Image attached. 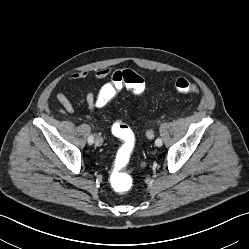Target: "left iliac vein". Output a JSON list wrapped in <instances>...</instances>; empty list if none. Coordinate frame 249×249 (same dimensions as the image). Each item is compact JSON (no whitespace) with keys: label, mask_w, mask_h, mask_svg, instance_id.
<instances>
[{"label":"left iliac vein","mask_w":249,"mask_h":249,"mask_svg":"<svg viewBox=\"0 0 249 249\" xmlns=\"http://www.w3.org/2000/svg\"><path fill=\"white\" fill-rule=\"evenodd\" d=\"M147 138H148V139H153V138H154V132H153L152 130H149V131L147 132Z\"/></svg>","instance_id":"4c4485c4"}]
</instances>
